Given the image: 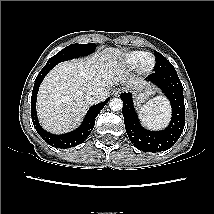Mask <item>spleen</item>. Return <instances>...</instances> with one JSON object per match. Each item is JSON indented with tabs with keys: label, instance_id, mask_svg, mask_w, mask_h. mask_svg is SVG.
Returning a JSON list of instances; mask_svg holds the SVG:
<instances>
[{
	"label": "spleen",
	"instance_id": "spleen-1",
	"mask_svg": "<svg viewBox=\"0 0 214 214\" xmlns=\"http://www.w3.org/2000/svg\"><path fill=\"white\" fill-rule=\"evenodd\" d=\"M169 115V104L161 96L149 100L140 110V118L149 128L164 126L169 120Z\"/></svg>",
	"mask_w": 214,
	"mask_h": 214
}]
</instances>
